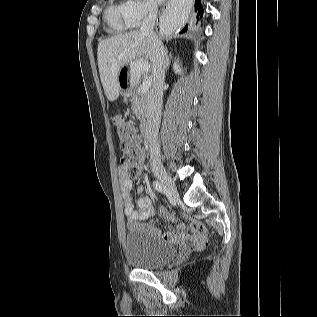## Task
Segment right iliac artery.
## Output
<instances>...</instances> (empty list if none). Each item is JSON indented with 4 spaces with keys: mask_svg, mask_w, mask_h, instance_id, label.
Masks as SVG:
<instances>
[{
    "mask_svg": "<svg viewBox=\"0 0 317 317\" xmlns=\"http://www.w3.org/2000/svg\"><path fill=\"white\" fill-rule=\"evenodd\" d=\"M153 187L160 193H165L166 188L158 181L153 182Z\"/></svg>",
    "mask_w": 317,
    "mask_h": 317,
    "instance_id": "right-iliac-artery-1",
    "label": "right iliac artery"
}]
</instances>
